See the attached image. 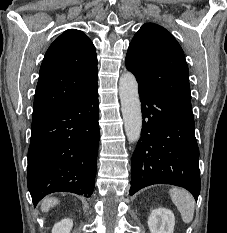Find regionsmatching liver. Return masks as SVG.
<instances>
[{
	"label": "liver",
	"mask_w": 227,
	"mask_h": 233,
	"mask_svg": "<svg viewBox=\"0 0 227 233\" xmlns=\"http://www.w3.org/2000/svg\"><path fill=\"white\" fill-rule=\"evenodd\" d=\"M56 204H58V199H56V198H48V199H46V200H44L42 202L41 210L43 212H48L50 210V208H52Z\"/></svg>",
	"instance_id": "obj_1"
}]
</instances>
